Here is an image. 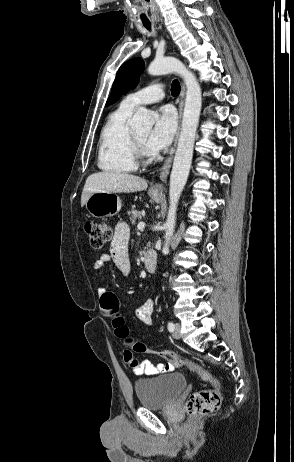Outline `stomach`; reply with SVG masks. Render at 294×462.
I'll list each match as a JSON object with an SVG mask.
<instances>
[{"label":"stomach","mask_w":294,"mask_h":462,"mask_svg":"<svg viewBox=\"0 0 294 462\" xmlns=\"http://www.w3.org/2000/svg\"><path fill=\"white\" fill-rule=\"evenodd\" d=\"M149 196L155 202H159L161 199L160 194L151 190L149 191ZM85 207L95 218L114 216L121 210V200L116 193L95 192L89 196Z\"/></svg>","instance_id":"stomach-1"}]
</instances>
